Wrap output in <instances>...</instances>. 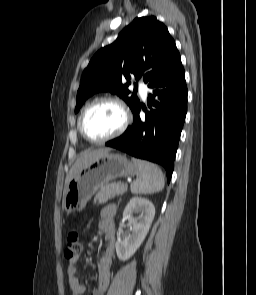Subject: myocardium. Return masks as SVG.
I'll use <instances>...</instances> for the list:
<instances>
[{"instance_id": "obj_1", "label": "myocardium", "mask_w": 256, "mask_h": 295, "mask_svg": "<svg viewBox=\"0 0 256 295\" xmlns=\"http://www.w3.org/2000/svg\"><path fill=\"white\" fill-rule=\"evenodd\" d=\"M102 103H111V104L115 105L116 107H118L122 113L123 121H122L121 126L118 128V130L115 131L113 134H111L107 137H104V138L95 139V138H92L91 136L88 135V133L85 129V122H86V118H87L88 114L90 113V111ZM129 122H130V113L121 100H119L115 97H110V96L100 97V98L94 100L92 103H90L87 106V108L84 110V112L81 116V120H80V132H81L82 136L88 142L94 143V144H102V143L108 142V141L120 136L128 127Z\"/></svg>"}]
</instances>
